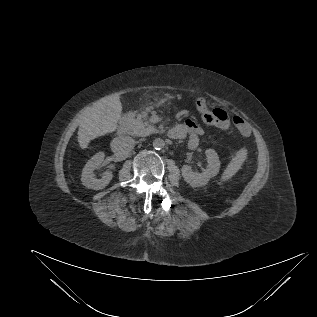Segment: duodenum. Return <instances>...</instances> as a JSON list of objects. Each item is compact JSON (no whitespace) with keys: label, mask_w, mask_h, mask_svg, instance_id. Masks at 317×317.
I'll list each match as a JSON object with an SVG mask.
<instances>
[{"label":"duodenum","mask_w":317,"mask_h":317,"mask_svg":"<svg viewBox=\"0 0 317 317\" xmlns=\"http://www.w3.org/2000/svg\"><path fill=\"white\" fill-rule=\"evenodd\" d=\"M128 128H129V120L125 116L120 120V122L118 124V128H117V132H118V134H125L127 132Z\"/></svg>","instance_id":"410a0bca"}]
</instances>
